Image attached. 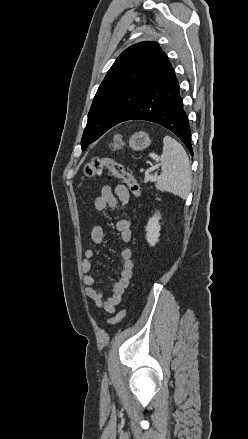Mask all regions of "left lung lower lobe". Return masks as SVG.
<instances>
[{
    "mask_svg": "<svg viewBox=\"0 0 248 439\" xmlns=\"http://www.w3.org/2000/svg\"><path fill=\"white\" fill-rule=\"evenodd\" d=\"M128 120H146L166 127L180 138L193 155L188 117L170 63L120 123Z\"/></svg>",
    "mask_w": 248,
    "mask_h": 439,
    "instance_id": "left-lung-lower-lobe-1",
    "label": "left lung lower lobe"
}]
</instances>
